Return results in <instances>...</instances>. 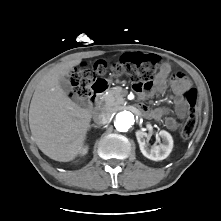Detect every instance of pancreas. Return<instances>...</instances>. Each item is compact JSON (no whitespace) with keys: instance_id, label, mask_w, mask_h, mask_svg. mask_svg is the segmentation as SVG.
<instances>
[{"instance_id":"obj_1","label":"pancreas","mask_w":221,"mask_h":221,"mask_svg":"<svg viewBox=\"0 0 221 221\" xmlns=\"http://www.w3.org/2000/svg\"><path fill=\"white\" fill-rule=\"evenodd\" d=\"M126 92L121 87H114L101 97L104 108L117 107L124 103Z\"/></svg>"}]
</instances>
